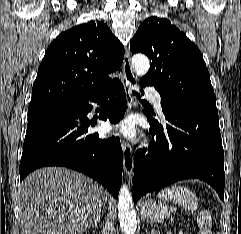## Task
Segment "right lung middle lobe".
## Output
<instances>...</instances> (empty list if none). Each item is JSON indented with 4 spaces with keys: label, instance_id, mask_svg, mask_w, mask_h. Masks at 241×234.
Returning <instances> with one entry per match:
<instances>
[{
    "label": "right lung middle lobe",
    "instance_id": "dd1d6c3e",
    "mask_svg": "<svg viewBox=\"0 0 241 234\" xmlns=\"http://www.w3.org/2000/svg\"><path fill=\"white\" fill-rule=\"evenodd\" d=\"M68 105H70V104H67V103H42V104L29 105L28 114L55 110V109L66 107Z\"/></svg>",
    "mask_w": 241,
    "mask_h": 234
}]
</instances>
